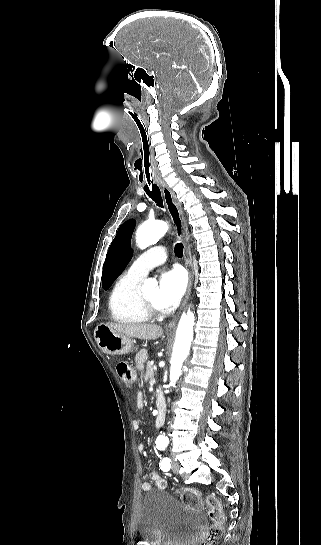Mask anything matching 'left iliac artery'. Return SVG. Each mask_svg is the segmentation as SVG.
Here are the masks:
<instances>
[{"label": "left iliac artery", "mask_w": 321, "mask_h": 545, "mask_svg": "<svg viewBox=\"0 0 321 545\" xmlns=\"http://www.w3.org/2000/svg\"><path fill=\"white\" fill-rule=\"evenodd\" d=\"M159 450H164L165 446H159ZM160 467L163 471H169L171 467V460L169 458H164L162 462L160 463Z\"/></svg>", "instance_id": "44dca946"}]
</instances>
